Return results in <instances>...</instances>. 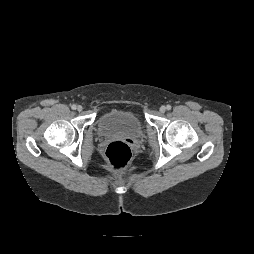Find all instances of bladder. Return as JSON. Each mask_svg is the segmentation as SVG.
<instances>
[{
  "label": "bladder",
  "instance_id": "bladder-1",
  "mask_svg": "<svg viewBox=\"0 0 254 254\" xmlns=\"http://www.w3.org/2000/svg\"><path fill=\"white\" fill-rule=\"evenodd\" d=\"M97 130L101 137L124 136L139 139L144 134L138 115L126 109H111L102 113L97 120Z\"/></svg>",
  "mask_w": 254,
  "mask_h": 254
}]
</instances>
